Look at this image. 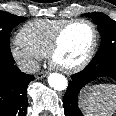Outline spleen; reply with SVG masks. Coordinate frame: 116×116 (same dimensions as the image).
<instances>
[{
	"label": "spleen",
	"mask_w": 116,
	"mask_h": 116,
	"mask_svg": "<svg viewBox=\"0 0 116 116\" xmlns=\"http://www.w3.org/2000/svg\"><path fill=\"white\" fill-rule=\"evenodd\" d=\"M86 116H111L116 109V89L112 85L90 88L81 101Z\"/></svg>",
	"instance_id": "obj_1"
}]
</instances>
